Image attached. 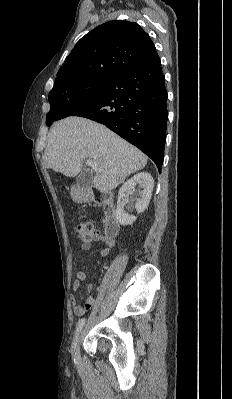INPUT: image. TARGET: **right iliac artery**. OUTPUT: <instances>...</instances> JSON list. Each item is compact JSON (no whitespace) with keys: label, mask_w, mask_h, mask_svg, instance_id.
I'll return each instance as SVG.
<instances>
[{"label":"right iliac artery","mask_w":232,"mask_h":399,"mask_svg":"<svg viewBox=\"0 0 232 399\" xmlns=\"http://www.w3.org/2000/svg\"><path fill=\"white\" fill-rule=\"evenodd\" d=\"M84 324H85V318L80 319L77 324L75 334H77L83 328ZM74 362H75V359H74Z\"/></svg>","instance_id":"right-iliac-artery-1"}]
</instances>
